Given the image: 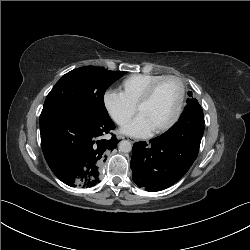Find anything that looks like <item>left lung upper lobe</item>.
I'll return each mask as SVG.
<instances>
[{"label":"left lung upper lobe","mask_w":250,"mask_h":250,"mask_svg":"<svg viewBox=\"0 0 250 250\" xmlns=\"http://www.w3.org/2000/svg\"><path fill=\"white\" fill-rule=\"evenodd\" d=\"M188 96H189V98L187 99V105L186 106H192V105H194V106H196V107H198V108H201V106L199 105V103H198V101L195 99V98H192V92H188Z\"/></svg>","instance_id":"5c2ea615"}]
</instances>
